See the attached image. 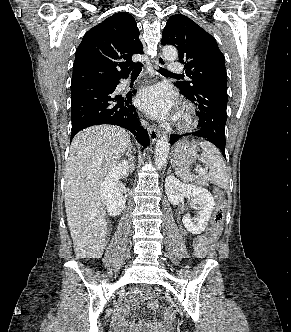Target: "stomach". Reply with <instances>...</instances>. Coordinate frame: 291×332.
<instances>
[{
    "label": "stomach",
    "mask_w": 291,
    "mask_h": 332,
    "mask_svg": "<svg viewBox=\"0 0 291 332\" xmlns=\"http://www.w3.org/2000/svg\"><path fill=\"white\" fill-rule=\"evenodd\" d=\"M197 158V146L189 141H179L175 144L171 162L174 166L187 167L190 166Z\"/></svg>",
    "instance_id": "stomach-1"
}]
</instances>
